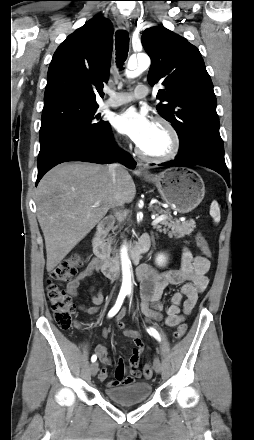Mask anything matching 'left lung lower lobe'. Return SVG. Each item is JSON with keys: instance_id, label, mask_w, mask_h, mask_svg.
Returning <instances> with one entry per match:
<instances>
[{"instance_id": "obj_1", "label": "left lung lower lobe", "mask_w": 254, "mask_h": 440, "mask_svg": "<svg viewBox=\"0 0 254 440\" xmlns=\"http://www.w3.org/2000/svg\"><path fill=\"white\" fill-rule=\"evenodd\" d=\"M200 165L218 172L230 184L228 168L224 160V146L220 136L203 135L195 138L191 148L178 155L174 160L159 164V166Z\"/></svg>"}]
</instances>
